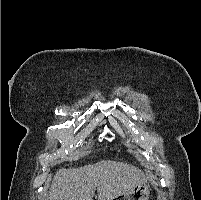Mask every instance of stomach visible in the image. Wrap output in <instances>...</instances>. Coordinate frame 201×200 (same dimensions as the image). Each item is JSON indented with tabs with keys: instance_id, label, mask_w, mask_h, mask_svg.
Listing matches in <instances>:
<instances>
[{
	"instance_id": "obj_1",
	"label": "stomach",
	"mask_w": 201,
	"mask_h": 200,
	"mask_svg": "<svg viewBox=\"0 0 201 200\" xmlns=\"http://www.w3.org/2000/svg\"><path fill=\"white\" fill-rule=\"evenodd\" d=\"M149 187L146 182L139 183L133 188L115 197L113 200H148L149 199Z\"/></svg>"
}]
</instances>
